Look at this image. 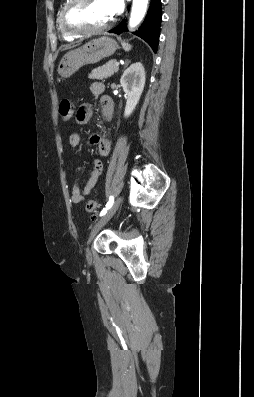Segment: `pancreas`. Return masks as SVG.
Instances as JSON below:
<instances>
[{
    "label": "pancreas",
    "mask_w": 254,
    "mask_h": 397,
    "mask_svg": "<svg viewBox=\"0 0 254 397\" xmlns=\"http://www.w3.org/2000/svg\"><path fill=\"white\" fill-rule=\"evenodd\" d=\"M114 60L109 61L105 65L98 67L94 69L90 74H89V79L92 80H103L111 77L114 73L118 72L119 67L115 66Z\"/></svg>",
    "instance_id": "cf45deb5"
}]
</instances>
